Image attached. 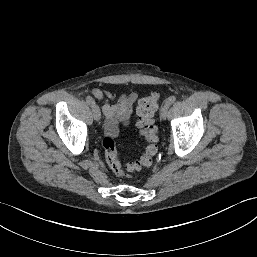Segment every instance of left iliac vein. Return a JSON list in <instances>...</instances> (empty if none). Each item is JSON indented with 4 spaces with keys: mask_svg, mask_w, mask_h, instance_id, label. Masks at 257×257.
<instances>
[{
    "mask_svg": "<svg viewBox=\"0 0 257 257\" xmlns=\"http://www.w3.org/2000/svg\"><path fill=\"white\" fill-rule=\"evenodd\" d=\"M169 106H170L169 104L165 103L164 106L162 107V109H161V118L162 119H166Z\"/></svg>",
    "mask_w": 257,
    "mask_h": 257,
    "instance_id": "left-iliac-vein-1",
    "label": "left iliac vein"
}]
</instances>
